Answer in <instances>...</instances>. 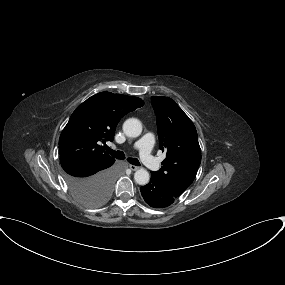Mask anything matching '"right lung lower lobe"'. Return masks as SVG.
<instances>
[{
	"label": "right lung lower lobe",
	"instance_id": "98d812e1",
	"mask_svg": "<svg viewBox=\"0 0 285 285\" xmlns=\"http://www.w3.org/2000/svg\"><path fill=\"white\" fill-rule=\"evenodd\" d=\"M115 160L82 161L63 168L70 186L101 184L111 186L115 177Z\"/></svg>",
	"mask_w": 285,
	"mask_h": 285
}]
</instances>
